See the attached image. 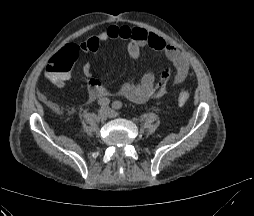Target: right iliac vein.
<instances>
[{"instance_id": "right-iliac-vein-1", "label": "right iliac vein", "mask_w": 254, "mask_h": 216, "mask_svg": "<svg viewBox=\"0 0 254 216\" xmlns=\"http://www.w3.org/2000/svg\"><path fill=\"white\" fill-rule=\"evenodd\" d=\"M109 116V109L108 108H100L97 114V118L99 121L104 122Z\"/></svg>"}]
</instances>
